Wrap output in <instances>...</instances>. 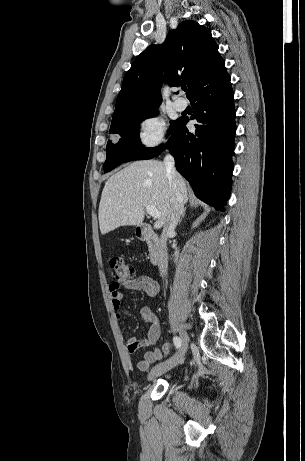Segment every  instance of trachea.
<instances>
[{"instance_id":"trachea-1","label":"trachea","mask_w":305,"mask_h":461,"mask_svg":"<svg viewBox=\"0 0 305 461\" xmlns=\"http://www.w3.org/2000/svg\"><path fill=\"white\" fill-rule=\"evenodd\" d=\"M182 90H183V91H186V90H187V87H182Z\"/></svg>"}]
</instances>
